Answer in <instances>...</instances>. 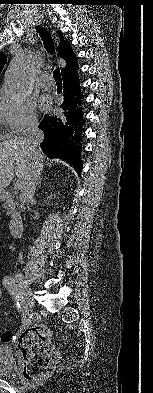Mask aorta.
Masks as SVG:
<instances>
[{"instance_id": "762f6f07", "label": "aorta", "mask_w": 153, "mask_h": 393, "mask_svg": "<svg viewBox=\"0 0 153 393\" xmlns=\"http://www.w3.org/2000/svg\"><path fill=\"white\" fill-rule=\"evenodd\" d=\"M34 69V58L29 52L12 60L5 79V89L12 99L23 100L30 96Z\"/></svg>"}]
</instances>
